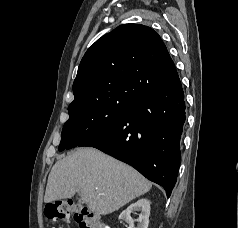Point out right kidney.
Returning <instances> with one entry per match:
<instances>
[{
  "label": "right kidney",
  "instance_id": "ca27d5eb",
  "mask_svg": "<svg viewBox=\"0 0 238 228\" xmlns=\"http://www.w3.org/2000/svg\"><path fill=\"white\" fill-rule=\"evenodd\" d=\"M133 211H140V215L137 220H133L131 213ZM150 215V201L146 198L140 199L137 202L131 204L126 210H124L119 219L127 221L129 228H148ZM134 221L137 222V227H134Z\"/></svg>",
  "mask_w": 238,
  "mask_h": 228
}]
</instances>
